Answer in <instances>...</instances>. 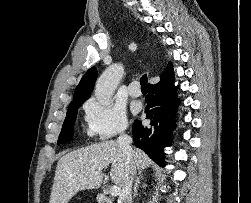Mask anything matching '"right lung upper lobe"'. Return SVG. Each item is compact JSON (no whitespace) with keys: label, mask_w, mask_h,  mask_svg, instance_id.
<instances>
[{"label":"right lung upper lobe","mask_w":251,"mask_h":203,"mask_svg":"<svg viewBox=\"0 0 251 203\" xmlns=\"http://www.w3.org/2000/svg\"><path fill=\"white\" fill-rule=\"evenodd\" d=\"M96 78L97 70L95 67H92L85 73L80 83L76 87L73 101L70 104L84 102L86 99H88L91 92L93 91Z\"/></svg>","instance_id":"cb5924a9"}]
</instances>
